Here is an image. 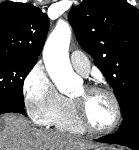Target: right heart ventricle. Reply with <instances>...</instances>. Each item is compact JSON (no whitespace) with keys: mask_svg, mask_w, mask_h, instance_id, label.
<instances>
[{"mask_svg":"<svg viewBox=\"0 0 139 150\" xmlns=\"http://www.w3.org/2000/svg\"><path fill=\"white\" fill-rule=\"evenodd\" d=\"M51 125L63 132L83 133L85 131L76 120L72 99L65 97L61 107L54 115Z\"/></svg>","mask_w":139,"mask_h":150,"instance_id":"e07e8e85","label":"right heart ventricle"}]
</instances>
